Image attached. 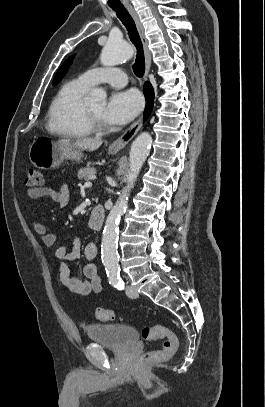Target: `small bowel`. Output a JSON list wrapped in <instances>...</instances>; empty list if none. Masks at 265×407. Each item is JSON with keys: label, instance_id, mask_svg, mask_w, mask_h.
<instances>
[{"label": "small bowel", "instance_id": "c3829d8e", "mask_svg": "<svg viewBox=\"0 0 265 407\" xmlns=\"http://www.w3.org/2000/svg\"><path fill=\"white\" fill-rule=\"evenodd\" d=\"M26 196L29 199L49 197L60 206H65L69 200V192L66 185L61 186L57 191L46 186L28 188L26 190ZM32 228L40 236L45 246H53L56 243V235L48 232L44 224L38 221H32ZM80 252L81 243L77 237L69 238L56 250L55 258L59 264V278L61 283L68 291L82 296H86L91 292L101 293V274L93 263L97 254V248L94 243H89L84 250L85 257L88 260V263L83 269L85 279H79L72 275L69 263L78 259Z\"/></svg>", "mask_w": 265, "mask_h": 407}]
</instances>
